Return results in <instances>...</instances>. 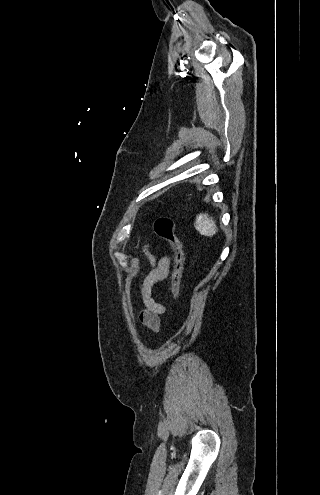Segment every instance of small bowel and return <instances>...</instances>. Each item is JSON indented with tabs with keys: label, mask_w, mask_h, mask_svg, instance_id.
<instances>
[{
	"label": "small bowel",
	"mask_w": 320,
	"mask_h": 495,
	"mask_svg": "<svg viewBox=\"0 0 320 495\" xmlns=\"http://www.w3.org/2000/svg\"><path fill=\"white\" fill-rule=\"evenodd\" d=\"M145 255L149 262V268L139 285L144 304V309L140 312L139 318L148 330L156 332L159 330L160 315L165 312V307L154 298L153 287L168 276L171 260L168 256H163L156 260L148 249H145Z\"/></svg>",
	"instance_id": "c3829d8e"
}]
</instances>
